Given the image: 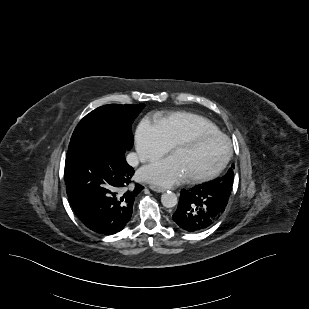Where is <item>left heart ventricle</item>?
<instances>
[{"label":"left heart ventricle","instance_id":"b2bd125f","mask_svg":"<svg viewBox=\"0 0 309 309\" xmlns=\"http://www.w3.org/2000/svg\"><path fill=\"white\" fill-rule=\"evenodd\" d=\"M226 152L223 140L217 138L204 139L196 144L175 149V155L187 175L200 176L212 172L222 161Z\"/></svg>","mask_w":309,"mask_h":309}]
</instances>
